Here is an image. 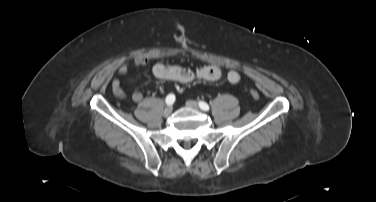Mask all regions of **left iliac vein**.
Returning a JSON list of instances; mask_svg holds the SVG:
<instances>
[{"label": "left iliac vein", "mask_w": 376, "mask_h": 202, "mask_svg": "<svg viewBox=\"0 0 376 202\" xmlns=\"http://www.w3.org/2000/svg\"><path fill=\"white\" fill-rule=\"evenodd\" d=\"M186 105L194 110H199V105L193 100L186 101Z\"/></svg>", "instance_id": "obj_1"}]
</instances>
